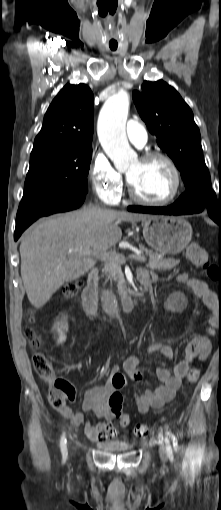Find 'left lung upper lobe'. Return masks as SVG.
Segmentation results:
<instances>
[{
  "mask_svg": "<svg viewBox=\"0 0 221 510\" xmlns=\"http://www.w3.org/2000/svg\"><path fill=\"white\" fill-rule=\"evenodd\" d=\"M137 110L158 145L181 172L186 191L173 204L179 207L221 211V198L211 191V180L190 107L166 82L144 81L142 93L133 92Z\"/></svg>",
  "mask_w": 221,
  "mask_h": 510,
  "instance_id": "5c2ea615",
  "label": "left lung upper lobe"
}]
</instances>
